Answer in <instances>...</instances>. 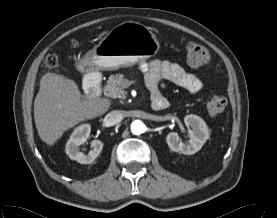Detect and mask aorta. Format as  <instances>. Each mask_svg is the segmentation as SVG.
<instances>
[{
    "label": "aorta",
    "mask_w": 277,
    "mask_h": 218,
    "mask_svg": "<svg viewBox=\"0 0 277 218\" xmlns=\"http://www.w3.org/2000/svg\"><path fill=\"white\" fill-rule=\"evenodd\" d=\"M144 130H145V125L142 121L134 120L131 123V131H132L133 134L139 135V134L143 133Z\"/></svg>",
    "instance_id": "762f6f07"
}]
</instances>
